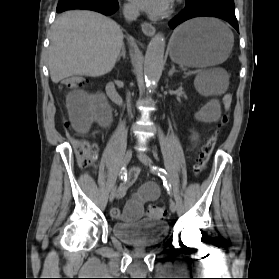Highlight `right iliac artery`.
<instances>
[{
  "mask_svg": "<svg viewBox=\"0 0 279 279\" xmlns=\"http://www.w3.org/2000/svg\"><path fill=\"white\" fill-rule=\"evenodd\" d=\"M120 178H121V179H125V180H126V178H127L126 169H125L124 167H122V169H121ZM126 190H127V187H126V186L121 187V194H120V196H122L123 194H125Z\"/></svg>",
  "mask_w": 279,
  "mask_h": 279,
  "instance_id": "82829eb1",
  "label": "right iliac artery"
}]
</instances>
